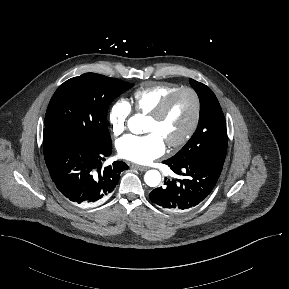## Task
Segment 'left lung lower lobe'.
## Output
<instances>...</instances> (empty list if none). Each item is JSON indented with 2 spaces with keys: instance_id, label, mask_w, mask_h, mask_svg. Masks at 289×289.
I'll use <instances>...</instances> for the list:
<instances>
[{
  "instance_id": "0a47b994",
  "label": "left lung lower lobe",
  "mask_w": 289,
  "mask_h": 289,
  "mask_svg": "<svg viewBox=\"0 0 289 289\" xmlns=\"http://www.w3.org/2000/svg\"><path fill=\"white\" fill-rule=\"evenodd\" d=\"M225 159L201 157L191 161H163L179 179L166 180L163 187L154 189L150 200L168 210L185 211L201 203L213 190Z\"/></svg>"
}]
</instances>
